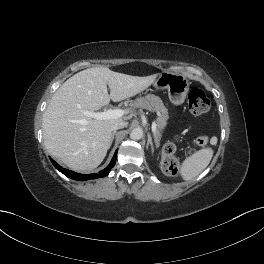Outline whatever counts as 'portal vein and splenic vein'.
Returning <instances> with one entry per match:
<instances>
[{"mask_svg": "<svg viewBox=\"0 0 264 264\" xmlns=\"http://www.w3.org/2000/svg\"><path fill=\"white\" fill-rule=\"evenodd\" d=\"M84 115L86 116H90L92 118L95 119H99V120H107V119H116V118H120L124 115V111L121 109H109L106 112H91V111H84L83 112ZM157 129V124L154 122L152 124V132L153 134H155Z\"/></svg>", "mask_w": 264, "mask_h": 264, "instance_id": "1", "label": "portal vein and splenic vein"}]
</instances>
